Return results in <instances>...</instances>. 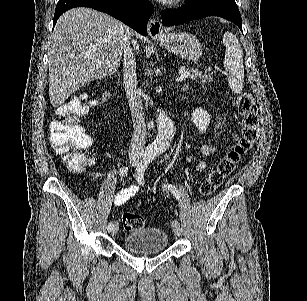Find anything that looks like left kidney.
<instances>
[{"instance_id":"obj_1","label":"left kidney","mask_w":307,"mask_h":301,"mask_svg":"<svg viewBox=\"0 0 307 301\" xmlns=\"http://www.w3.org/2000/svg\"><path fill=\"white\" fill-rule=\"evenodd\" d=\"M191 120L194 122V124H196L200 132H206V128H208L211 120V114L199 106V108H195V110H193Z\"/></svg>"}]
</instances>
